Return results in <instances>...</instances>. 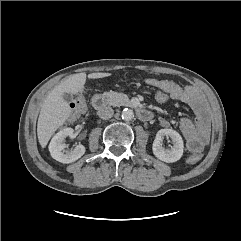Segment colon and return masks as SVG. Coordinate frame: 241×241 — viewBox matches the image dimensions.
Instances as JSON below:
<instances>
[{
	"mask_svg": "<svg viewBox=\"0 0 241 241\" xmlns=\"http://www.w3.org/2000/svg\"><path fill=\"white\" fill-rule=\"evenodd\" d=\"M154 99L159 104H164L170 100V95L163 89L156 88L154 92ZM87 108V94L82 92L78 94L71 103L70 122L78 120L86 111ZM200 160V155L192 154L187 157L189 163H196Z\"/></svg>",
	"mask_w": 241,
	"mask_h": 241,
	"instance_id": "5ec220e1",
	"label": "colon"
}]
</instances>
